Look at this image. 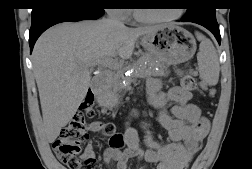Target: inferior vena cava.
Returning a JSON list of instances; mask_svg holds the SVG:
<instances>
[{"label": "inferior vena cava", "instance_id": "inferior-vena-cava-1", "mask_svg": "<svg viewBox=\"0 0 252 169\" xmlns=\"http://www.w3.org/2000/svg\"><path fill=\"white\" fill-rule=\"evenodd\" d=\"M107 20L118 27H124V24L116 17V14L112 11L108 12Z\"/></svg>", "mask_w": 252, "mask_h": 169}]
</instances>
